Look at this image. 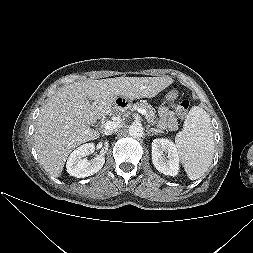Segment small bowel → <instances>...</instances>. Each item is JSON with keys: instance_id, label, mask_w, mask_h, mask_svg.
<instances>
[{"instance_id": "small-bowel-1", "label": "small bowel", "mask_w": 253, "mask_h": 253, "mask_svg": "<svg viewBox=\"0 0 253 253\" xmlns=\"http://www.w3.org/2000/svg\"><path fill=\"white\" fill-rule=\"evenodd\" d=\"M159 126L170 131H175L178 128V122L175 113L166 106L159 108Z\"/></svg>"}]
</instances>
